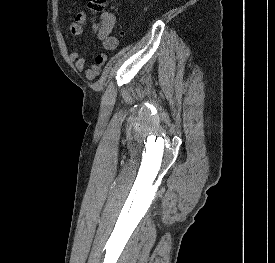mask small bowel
<instances>
[{"label": "small bowel", "instance_id": "1", "mask_svg": "<svg viewBox=\"0 0 275 263\" xmlns=\"http://www.w3.org/2000/svg\"><path fill=\"white\" fill-rule=\"evenodd\" d=\"M87 21V15L85 12H79L75 16L74 21L70 25V35L73 43L77 45L79 39L83 34V26ZM105 29L99 31L98 38L102 41L103 46L108 51H115L119 46V40L111 36L110 33L115 25V19L112 15H107L104 19ZM69 59L74 63L78 72H85V76L88 80H94L101 73V68L106 64L107 55L105 53H99L95 56L94 62L86 67V61L79 52H72L69 55Z\"/></svg>", "mask_w": 275, "mask_h": 263}]
</instances>
